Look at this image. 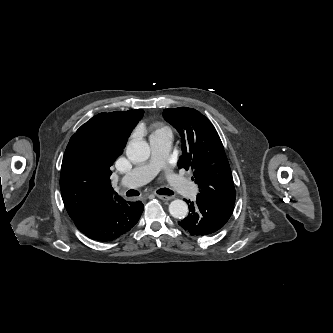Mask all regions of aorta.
Returning a JSON list of instances; mask_svg holds the SVG:
<instances>
[{"label":"aorta","mask_w":333,"mask_h":333,"mask_svg":"<svg viewBox=\"0 0 333 333\" xmlns=\"http://www.w3.org/2000/svg\"><path fill=\"white\" fill-rule=\"evenodd\" d=\"M126 155L132 162H144L150 156V147L146 141L132 140L126 148ZM169 212L174 218H184L188 213V206L183 200L176 199L170 203Z\"/></svg>","instance_id":"aorta-1"}]
</instances>
